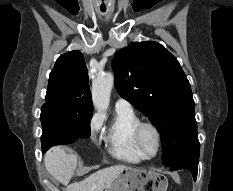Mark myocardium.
Here are the masks:
<instances>
[{
  "label": "myocardium",
  "instance_id": "myocardium-1",
  "mask_svg": "<svg viewBox=\"0 0 233 191\" xmlns=\"http://www.w3.org/2000/svg\"><path fill=\"white\" fill-rule=\"evenodd\" d=\"M146 128H150L155 136H156V141H157V148H156V151L153 153V154H148L143 145H142V132L144 129ZM133 137H134V142L137 146V148L139 149V151L147 158V159H151V158H154L156 157L160 150H161V145H162V138H161V132L159 130V128L157 127L156 124H154L153 122H150V121H140L135 129H134V133H133Z\"/></svg>",
  "mask_w": 233,
  "mask_h": 191
}]
</instances>
